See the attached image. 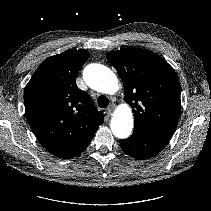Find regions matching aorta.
Segmentation results:
<instances>
[{
	"label": "aorta",
	"instance_id": "1",
	"mask_svg": "<svg viewBox=\"0 0 211 211\" xmlns=\"http://www.w3.org/2000/svg\"><path fill=\"white\" fill-rule=\"evenodd\" d=\"M84 81L94 90L113 94L118 88V79L114 72L101 64H90L83 72ZM133 128V114L128 105H122L114 112L111 120L113 134L121 139L127 138Z\"/></svg>",
	"mask_w": 211,
	"mask_h": 211
}]
</instances>
